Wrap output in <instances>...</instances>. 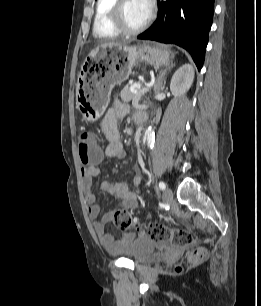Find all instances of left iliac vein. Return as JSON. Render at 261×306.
I'll return each instance as SVG.
<instances>
[{
	"mask_svg": "<svg viewBox=\"0 0 261 306\" xmlns=\"http://www.w3.org/2000/svg\"><path fill=\"white\" fill-rule=\"evenodd\" d=\"M173 199V192L171 188L167 187L163 192V200L168 203Z\"/></svg>",
	"mask_w": 261,
	"mask_h": 306,
	"instance_id": "obj_1",
	"label": "left iliac vein"
}]
</instances>
